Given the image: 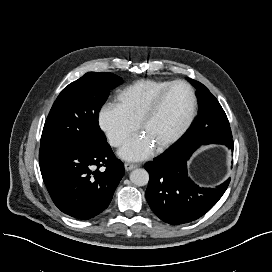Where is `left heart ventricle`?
Wrapping results in <instances>:
<instances>
[{
    "label": "left heart ventricle",
    "instance_id": "1",
    "mask_svg": "<svg viewBox=\"0 0 272 272\" xmlns=\"http://www.w3.org/2000/svg\"><path fill=\"white\" fill-rule=\"evenodd\" d=\"M190 108V97L183 86L174 87L156 114L145 124L142 134L156 147L168 139L184 122Z\"/></svg>",
    "mask_w": 272,
    "mask_h": 272
}]
</instances>
